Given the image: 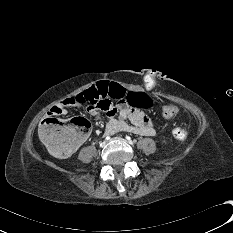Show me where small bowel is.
Returning a JSON list of instances; mask_svg holds the SVG:
<instances>
[{"mask_svg": "<svg viewBox=\"0 0 233 233\" xmlns=\"http://www.w3.org/2000/svg\"><path fill=\"white\" fill-rule=\"evenodd\" d=\"M73 98L64 99L59 106L51 108L47 117L65 114L68 108L78 107ZM87 111L96 117L105 115L107 118L105 131L108 134L129 132L141 136H153L155 129L150 118L141 110L130 107L126 100L117 101L106 97L95 104L87 106ZM128 121L130 123H128ZM85 140V139H84Z\"/></svg>", "mask_w": 233, "mask_h": 233, "instance_id": "1", "label": "small bowel"}]
</instances>
